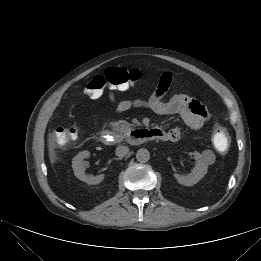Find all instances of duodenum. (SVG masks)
Segmentation results:
<instances>
[{
  "label": "duodenum",
  "instance_id": "1",
  "mask_svg": "<svg viewBox=\"0 0 261 261\" xmlns=\"http://www.w3.org/2000/svg\"><path fill=\"white\" fill-rule=\"evenodd\" d=\"M159 137L160 133L155 129H134L129 133L128 142L137 145ZM100 139L105 145H111L115 142L116 135L111 129H104L100 133Z\"/></svg>",
  "mask_w": 261,
  "mask_h": 261
}]
</instances>
